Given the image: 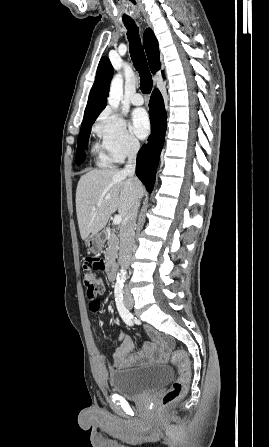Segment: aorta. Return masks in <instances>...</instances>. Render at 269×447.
Segmentation results:
<instances>
[{
    "label": "aorta",
    "mask_w": 269,
    "mask_h": 447,
    "mask_svg": "<svg viewBox=\"0 0 269 447\" xmlns=\"http://www.w3.org/2000/svg\"><path fill=\"white\" fill-rule=\"evenodd\" d=\"M121 96H123V78L121 74H116L111 82L109 98H107L108 104L109 106H112L113 110H117V108H119ZM125 279L126 271L122 267V269H120V273L117 275L116 283H123Z\"/></svg>",
    "instance_id": "obj_1"
}]
</instances>
